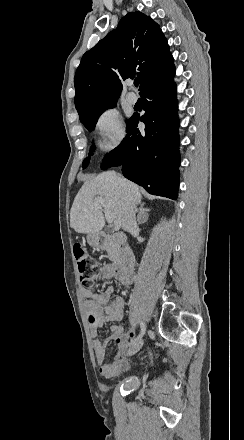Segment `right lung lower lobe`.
Segmentation results:
<instances>
[{
  "label": "right lung lower lobe",
  "instance_id": "right-lung-lower-lobe-1",
  "mask_svg": "<svg viewBox=\"0 0 244 440\" xmlns=\"http://www.w3.org/2000/svg\"><path fill=\"white\" fill-rule=\"evenodd\" d=\"M173 62L154 72L141 87L144 115L127 120V135L104 159L103 170L122 165L129 180L149 193L177 199L179 186V120ZM142 121L143 132L137 128Z\"/></svg>",
  "mask_w": 244,
  "mask_h": 440
}]
</instances>
